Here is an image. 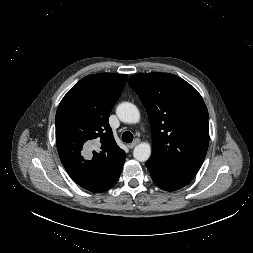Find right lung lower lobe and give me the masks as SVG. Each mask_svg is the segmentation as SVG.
Segmentation results:
<instances>
[{
    "mask_svg": "<svg viewBox=\"0 0 253 253\" xmlns=\"http://www.w3.org/2000/svg\"><path fill=\"white\" fill-rule=\"evenodd\" d=\"M124 164V163H123ZM123 164L122 166L117 170V172L113 175V177L110 179V181L108 183H106L103 187H101L100 189H98L96 191V193L99 192H104L108 189H110L111 187H113L115 185V183L117 182V180L119 179V176L121 174L122 168H123Z\"/></svg>",
    "mask_w": 253,
    "mask_h": 253,
    "instance_id": "1",
    "label": "right lung lower lobe"
}]
</instances>
